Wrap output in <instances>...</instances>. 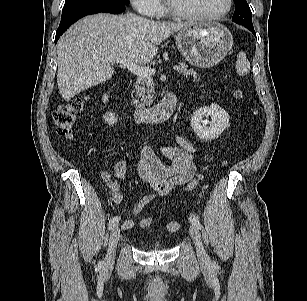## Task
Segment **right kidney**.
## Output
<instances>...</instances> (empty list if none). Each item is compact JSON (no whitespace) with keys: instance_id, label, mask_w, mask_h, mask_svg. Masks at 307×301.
<instances>
[{"instance_id":"obj_1","label":"right kidney","mask_w":307,"mask_h":301,"mask_svg":"<svg viewBox=\"0 0 307 301\" xmlns=\"http://www.w3.org/2000/svg\"><path fill=\"white\" fill-rule=\"evenodd\" d=\"M102 100L104 103L108 102V95L104 94ZM103 118L105 119V122H107L110 126H113L118 121L117 116H115V114L112 112L106 113Z\"/></svg>"}]
</instances>
